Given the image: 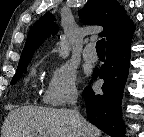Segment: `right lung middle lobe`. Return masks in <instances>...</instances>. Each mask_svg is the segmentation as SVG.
Returning a JSON list of instances; mask_svg holds the SVG:
<instances>
[{"label": "right lung middle lobe", "mask_w": 144, "mask_h": 137, "mask_svg": "<svg viewBox=\"0 0 144 137\" xmlns=\"http://www.w3.org/2000/svg\"><path fill=\"white\" fill-rule=\"evenodd\" d=\"M28 63L29 62L18 65L16 74L14 75V77L12 78V81H11L12 85H14L18 81V79L21 77L23 70L26 69Z\"/></svg>", "instance_id": "1"}]
</instances>
